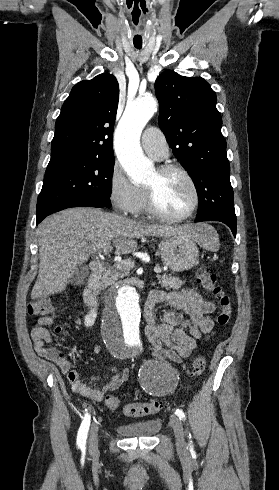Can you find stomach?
Masks as SVG:
<instances>
[{
  "label": "stomach",
  "mask_w": 279,
  "mask_h": 490,
  "mask_svg": "<svg viewBox=\"0 0 279 490\" xmlns=\"http://www.w3.org/2000/svg\"><path fill=\"white\" fill-rule=\"evenodd\" d=\"M162 238L159 250L161 260L173 274L187 272L199 264V250L194 238L185 234H168Z\"/></svg>",
  "instance_id": "obj_1"
}]
</instances>
